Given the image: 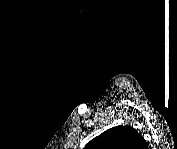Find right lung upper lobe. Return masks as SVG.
Here are the masks:
<instances>
[{
    "label": "right lung upper lobe",
    "instance_id": "1",
    "mask_svg": "<svg viewBox=\"0 0 177 149\" xmlns=\"http://www.w3.org/2000/svg\"><path fill=\"white\" fill-rule=\"evenodd\" d=\"M145 147L146 142L136 129L131 126H117L91 140L85 149H140Z\"/></svg>",
    "mask_w": 177,
    "mask_h": 149
}]
</instances>
